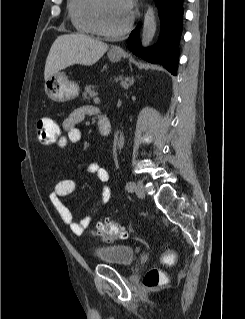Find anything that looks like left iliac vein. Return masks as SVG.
Wrapping results in <instances>:
<instances>
[{"label": "left iliac vein", "mask_w": 245, "mask_h": 319, "mask_svg": "<svg viewBox=\"0 0 245 319\" xmlns=\"http://www.w3.org/2000/svg\"><path fill=\"white\" fill-rule=\"evenodd\" d=\"M134 191L138 198L143 199L145 196L144 187L141 182H136L134 185Z\"/></svg>", "instance_id": "1"}]
</instances>
